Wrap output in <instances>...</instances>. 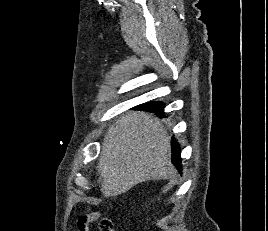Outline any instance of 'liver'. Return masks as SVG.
Wrapping results in <instances>:
<instances>
[{
	"label": "liver",
	"mask_w": 268,
	"mask_h": 231,
	"mask_svg": "<svg viewBox=\"0 0 268 231\" xmlns=\"http://www.w3.org/2000/svg\"><path fill=\"white\" fill-rule=\"evenodd\" d=\"M171 137L160 119L144 111H132L117 120L104 136L97 165L104 197L125 193L138 183L168 179Z\"/></svg>",
	"instance_id": "1"
}]
</instances>
